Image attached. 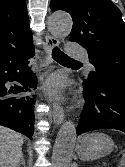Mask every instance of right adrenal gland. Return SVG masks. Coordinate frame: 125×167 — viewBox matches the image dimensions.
<instances>
[{"mask_svg":"<svg viewBox=\"0 0 125 167\" xmlns=\"http://www.w3.org/2000/svg\"><path fill=\"white\" fill-rule=\"evenodd\" d=\"M21 165H23V167H25V159H24V154L23 153L21 154V160H20L17 167H21Z\"/></svg>","mask_w":125,"mask_h":167,"instance_id":"obj_1","label":"right adrenal gland"}]
</instances>
